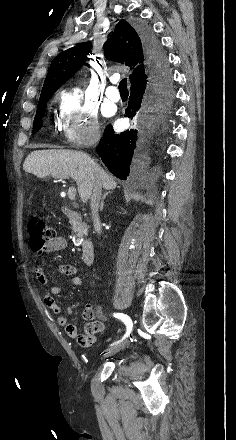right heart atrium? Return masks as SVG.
Here are the masks:
<instances>
[{"label": "right heart atrium", "instance_id": "right-heart-atrium-1", "mask_svg": "<svg viewBox=\"0 0 236 440\" xmlns=\"http://www.w3.org/2000/svg\"><path fill=\"white\" fill-rule=\"evenodd\" d=\"M57 119L64 139L76 147L92 145L100 139L97 109L78 88L60 90Z\"/></svg>", "mask_w": 236, "mask_h": 440}]
</instances>
